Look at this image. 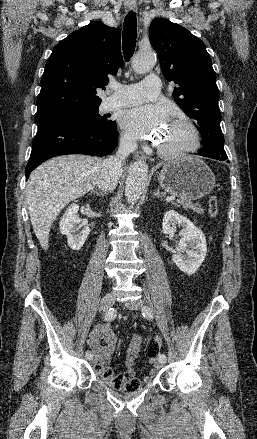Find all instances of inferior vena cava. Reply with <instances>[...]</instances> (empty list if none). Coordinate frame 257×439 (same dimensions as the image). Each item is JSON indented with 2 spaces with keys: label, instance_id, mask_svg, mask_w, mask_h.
Wrapping results in <instances>:
<instances>
[{
  "label": "inferior vena cava",
  "instance_id": "obj_1",
  "mask_svg": "<svg viewBox=\"0 0 257 439\" xmlns=\"http://www.w3.org/2000/svg\"><path fill=\"white\" fill-rule=\"evenodd\" d=\"M136 149V140L129 137H122L120 139V145L116 155L102 162L101 171L97 180V186L101 190L106 192L115 189L122 173V162Z\"/></svg>",
  "mask_w": 257,
  "mask_h": 439
}]
</instances>
